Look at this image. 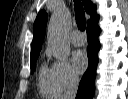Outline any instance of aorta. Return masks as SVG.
Returning a JSON list of instances; mask_svg holds the SVG:
<instances>
[{
    "mask_svg": "<svg viewBox=\"0 0 128 99\" xmlns=\"http://www.w3.org/2000/svg\"><path fill=\"white\" fill-rule=\"evenodd\" d=\"M69 16L66 9L56 10L48 26V45L54 56L61 61L68 58L70 54V45L66 36V27Z\"/></svg>",
    "mask_w": 128,
    "mask_h": 99,
    "instance_id": "obj_1",
    "label": "aorta"
}]
</instances>
